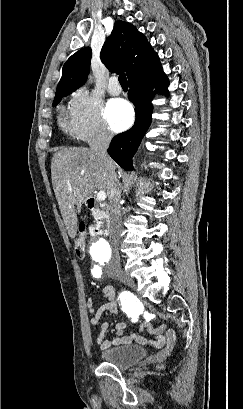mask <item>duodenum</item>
Masks as SVG:
<instances>
[{"label":"duodenum","mask_w":243,"mask_h":409,"mask_svg":"<svg viewBox=\"0 0 243 409\" xmlns=\"http://www.w3.org/2000/svg\"><path fill=\"white\" fill-rule=\"evenodd\" d=\"M86 205L90 210L94 211L97 214V221L91 230L95 234H98L101 236L108 235L109 224H108L107 205L99 202L93 197L87 199Z\"/></svg>","instance_id":"obj_1"}]
</instances>
